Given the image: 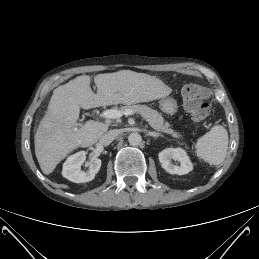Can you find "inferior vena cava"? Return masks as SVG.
Listing matches in <instances>:
<instances>
[{"label": "inferior vena cava", "instance_id": "obj_1", "mask_svg": "<svg viewBox=\"0 0 259 259\" xmlns=\"http://www.w3.org/2000/svg\"><path fill=\"white\" fill-rule=\"evenodd\" d=\"M117 135L118 132L116 130H110L100 137L99 142L103 146H108L117 137Z\"/></svg>", "mask_w": 259, "mask_h": 259}]
</instances>
